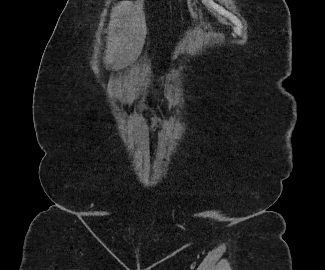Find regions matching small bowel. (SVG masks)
<instances>
[{
    "mask_svg": "<svg viewBox=\"0 0 325 270\" xmlns=\"http://www.w3.org/2000/svg\"><path fill=\"white\" fill-rule=\"evenodd\" d=\"M148 120L151 125L159 126L162 124V118L157 114L153 108H148Z\"/></svg>",
    "mask_w": 325,
    "mask_h": 270,
    "instance_id": "small-bowel-1",
    "label": "small bowel"
}]
</instances>
